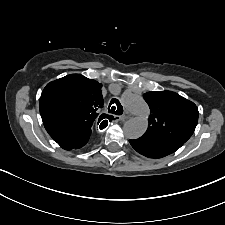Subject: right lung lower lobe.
I'll list each match as a JSON object with an SVG mask.
<instances>
[{"label": "right lung lower lobe", "mask_w": 225, "mask_h": 225, "mask_svg": "<svg viewBox=\"0 0 225 225\" xmlns=\"http://www.w3.org/2000/svg\"><path fill=\"white\" fill-rule=\"evenodd\" d=\"M44 126L53 140L64 150H79L89 141L92 130L78 123L49 120Z\"/></svg>", "instance_id": "1"}]
</instances>
